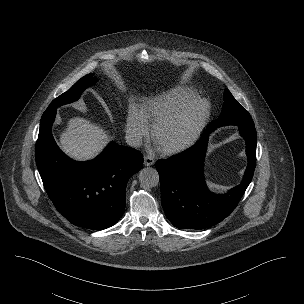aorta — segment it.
Masks as SVG:
<instances>
[{
	"label": "aorta",
	"mask_w": 304,
	"mask_h": 304,
	"mask_svg": "<svg viewBox=\"0 0 304 304\" xmlns=\"http://www.w3.org/2000/svg\"><path fill=\"white\" fill-rule=\"evenodd\" d=\"M139 181L145 188H152L159 183V174L156 169L152 167L143 168L139 172Z\"/></svg>",
	"instance_id": "aorta-1"
}]
</instances>
